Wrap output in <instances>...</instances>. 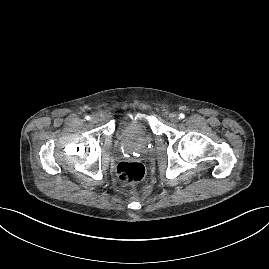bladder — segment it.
<instances>
[{"instance_id":"bladder-1","label":"bladder","mask_w":269,"mask_h":269,"mask_svg":"<svg viewBox=\"0 0 269 269\" xmlns=\"http://www.w3.org/2000/svg\"><path fill=\"white\" fill-rule=\"evenodd\" d=\"M146 129L144 118L124 119L119 125V135L128 142H144L147 139Z\"/></svg>"}]
</instances>
